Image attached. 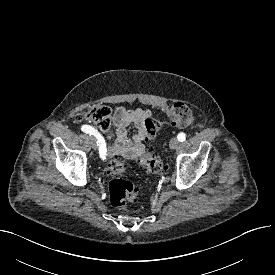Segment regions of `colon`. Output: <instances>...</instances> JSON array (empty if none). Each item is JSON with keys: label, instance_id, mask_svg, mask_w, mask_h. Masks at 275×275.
I'll list each match as a JSON object with an SVG mask.
<instances>
[{"label": "colon", "instance_id": "1", "mask_svg": "<svg viewBox=\"0 0 275 275\" xmlns=\"http://www.w3.org/2000/svg\"><path fill=\"white\" fill-rule=\"evenodd\" d=\"M166 112L174 126L186 127L193 121L192 109L186 103H174L167 108ZM111 119V109L105 105L92 106L76 118L77 121H91L104 132L109 130ZM146 126L148 130L147 140H151L157 133L158 125L154 119H149ZM138 161L151 173H158L163 169L160 157L151 147H148L138 156ZM108 170L112 176L108 186L110 203L116 208H125L129 202L137 199L138 189L132 181L122 176L124 164L121 161L112 160L108 165Z\"/></svg>", "mask_w": 275, "mask_h": 275}]
</instances>
